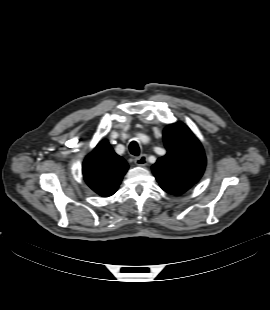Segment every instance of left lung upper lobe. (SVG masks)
<instances>
[{
    "label": "left lung upper lobe",
    "mask_w": 270,
    "mask_h": 310,
    "mask_svg": "<svg viewBox=\"0 0 270 310\" xmlns=\"http://www.w3.org/2000/svg\"><path fill=\"white\" fill-rule=\"evenodd\" d=\"M167 154L157 160L152 171L168 193H184L202 177L206 157L200 141L182 122L168 125L163 133Z\"/></svg>",
    "instance_id": "1"
}]
</instances>
